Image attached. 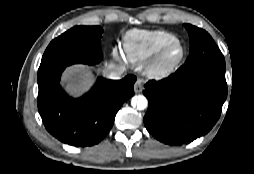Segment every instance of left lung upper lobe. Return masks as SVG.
<instances>
[{"label": "left lung upper lobe", "mask_w": 254, "mask_h": 174, "mask_svg": "<svg viewBox=\"0 0 254 174\" xmlns=\"http://www.w3.org/2000/svg\"><path fill=\"white\" fill-rule=\"evenodd\" d=\"M184 27L190 38V51L184 68L202 64L225 67L223 54L205 30L189 24H184Z\"/></svg>", "instance_id": "left-lung-upper-lobe-1"}]
</instances>
